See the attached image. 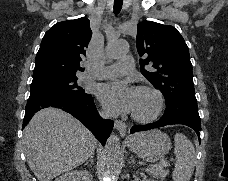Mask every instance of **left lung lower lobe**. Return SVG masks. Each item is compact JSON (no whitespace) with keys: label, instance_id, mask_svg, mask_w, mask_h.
I'll use <instances>...</instances> for the list:
<instances>
[{"label":"left lung lower lobe","instance_id":"0a47b994","mask_svg":"<svg viewBox=\"0 0 228 181\" xmlns=\"http://www.w3.org/2000/svg\"><path fill=\"white\" fill-rule=\"evenodd\" d=\"M172 124H181V125H186V126L192 128L197 133V135L200 139L201 125L189 124V123H183V122H164V121H161L160 119L156 122H153V123H150L147 125H134L131 128L130 132L135 133V132H139V131H145V130L159 128V127H163L166 125H172Z\"/></svg>","mask_w":228,"mask_h":181}]
</instances>
